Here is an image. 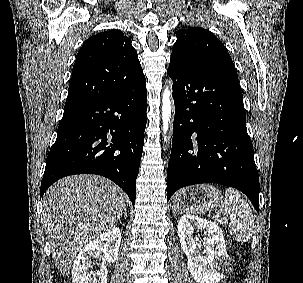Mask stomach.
<instances>
[{
  "instance_id": "1",
  "label": "stomach",
  "mask_w": 303,
  "mask_h": 283,
  "mask_svg": "<svg viewBox=\"0 0 303 283\" xmlns=\"http://www.w3.org/2000/svg\"><path fill=\"white\" fill-rule=\"evenodd\" d=\"M221 200L222 196L214 186H191L175 194L172 210L175 213L205 214L214 210Z\"/></svg>"
}]
</instances>
